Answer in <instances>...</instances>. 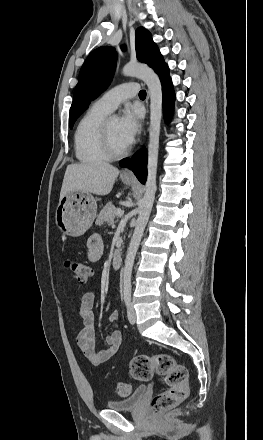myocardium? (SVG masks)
Masks as SVG:
<instances>
[{
    "mask_svg": "<svg viewBox=\"0 0 263 440\" xmlns=\"http://www.w3.org/2000/svg\"><path fill=\"white\" fill-rule=\"evenodd\" d=\"M109 120L110 117H105L104 120L101 123L100 126V144L102 147L103 152L107 155L108 158L114 159V158H120L126 155L129 151V147L122 150H115L110 141L109 136Z\"/></svg>",
    "mask_w": 263,
    "mask_h": 440,
    "instance_id": "f54148a6",
    "label": "myocardium"
}]
</instances>
